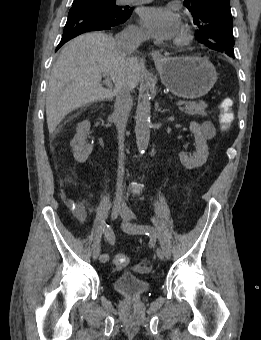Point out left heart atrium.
I'll use <instances>...</instances> for the list:
<instances>
[{
  "label": "left heart atrium",
  "mask_w": 261,
  "mask_h": 340,
  "mask_svg": "<svg viewBox=\"0 0 261 340\" xmlns=\"http://www.w3.org/2000/svg\"><path fill=\"white\" fill-rule=\"evenodd\" d=\"M140 21L145 33L157 40L167 41L179 31L180 22L176 14L166 7H145L140 12Z\"/></svg>",
  "instance_id": "obj_1"
}]
</instances>
